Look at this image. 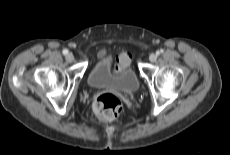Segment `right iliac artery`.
Wrapping results in <instances>:
<instances>
[{"mask_svg": "<svg viewBox=\"0 0 230 155\" xmlns=\"http://www.w3.org/2000/svg\"><path fill=\"white\" fill-rule=\"evenodd\" d=\"M63 54H64V55H67V54H68V50H67V49H64V50H63Z\"/></svg>", "mask_w": 230, "mask_h": 155, "instance_id": "82829eb1", "label": "right iliac artery"}]
</instances>
